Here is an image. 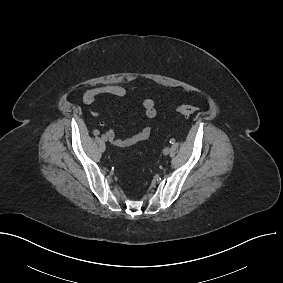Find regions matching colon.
<instances>
[{"mask_svg":"<svg viewBox=\"0 0 283 283\" xmlns=\"http://www.w3.org/2000/svg\"><path fill=\"white\" fill-rule=\"evenodd\" d=\"M197 111V108L189 104H181L177 107V112L183 116H190Z\"/></svg>","mask_w":283,"mask_h":283,"instance_id":"1","label":"colon"}]
</instances>
